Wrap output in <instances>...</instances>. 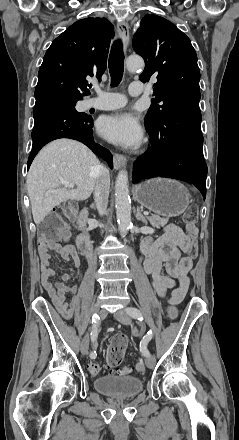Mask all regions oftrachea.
Here are the masks:
<instances>
[{
    "label": "trachea",
    "instance_id": "trachea-1",
    "mask_svg": "<svg viewBox=\"0 0 239 440\" xmlns=\"http://www.w3.org/2000/svg\"><path fill=\"white\" fill-rule=\"evenodd\" d=\"M108 67L111 76V86L117 87L122 80L124 72V53L122 39H116L114 41Z\"/></svg>",
    "mask_w": 239,
    "mask_h": 440
}]
</instances>
